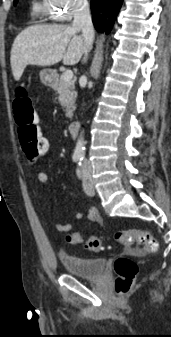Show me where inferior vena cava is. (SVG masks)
<instances>
[{
	"label": "inferior vena cava",
	"mask_w": 171,
	"mask_h": 337,
	"mask_svg": "<svg viewBox=\"0 0 171 337\" xmlns=\"http://www.w3.org/2000/svg\"><path fill=\"white\" fill-rule=\"evenodd\" d=\"M74 28L82 31L84 39V61L87 59L88 52L91 49L94 39V29L90 15L89 5L85 0H77L74 6V20L72 23Z\"/></svg>",
	"instance_id": "inferior-vena-cava-1"
}]
</instances>
